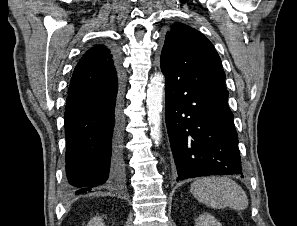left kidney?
Segmentation results:
<instances>
[{
  "label": "left kidney",
  "mask_w": 297,
  "mask_h": 226,
  "mask_svg": "<svg viewBox=\"0 0 297 226\" xmlns=\"http://www.w3.org/2000/svg\"><path fill=\"white\" fill-rule=\"evenodd\" d=\"M196 226H222V224L210 214H203L197 218Z\"/></svg>",
  "instance_id": "5707ae66"
}]
</instances>
